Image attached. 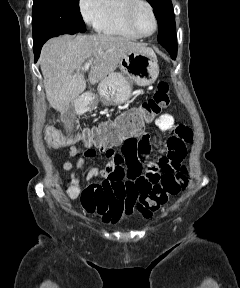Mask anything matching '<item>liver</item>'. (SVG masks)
I'll list each match as a JSON object with an SVG mask.
<instances>
[{"label": "liver", "mask_w": 240, "mask_h": 288, "mask_svg": "<svg viewBox=\"0 0 240 288\" xmlns=\"http://www.w3.org/2000/svg\"><path fill=\"white\" fill-rule=\"evenodd\" d=\"M130 51H154L142 43L112 35H63L48 40L39 63L44 77L46 97L51 107L67 113L86 88L80 72L84 63L92 61L88 74L94 85L113 73L124 54Z\"/></svg>", "instance_id": "obj_1"}]
</instances>
